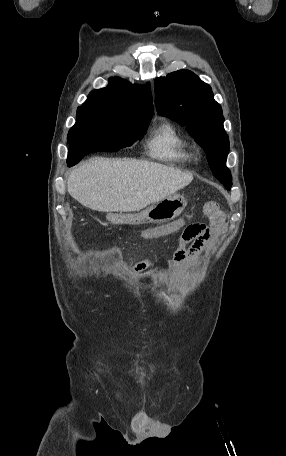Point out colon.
Returning <instances> with one entry per match:
<instances>
[{
  "label": "colon",
  "instance_id": "1",
  "mask_svg": "<svg viewBox=\"0 0 286 456\" xmlns=\"http://www.w3.org/2000/svg\"><path fill=\"white\" fill-rule=\"evenodd\" d=\"M217 208H218V205H217V203L214 202V201H210V202H207V203L205 204V210H206L207 212L215 211V210H217Z\"/></svg>",
  "mask_w": 286,
  "mask_h": 456
}]
</instances>
